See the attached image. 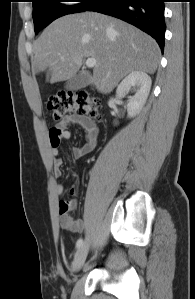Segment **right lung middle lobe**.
I'll return each mask as SVG.
<instances>
[{"label": "right lung middle lobe", "mask_w": 195, "mask_h": 299, "mask_svg": "<svg viewBox=\"0 0 195 299\" xmlns=\"http://www.w3.org/2000/svg\"><path fill=\"white\" fill-rule=\"evenodd\" d=\"M59 1L32 0L35 34L61 16L86 11L93 0H80L75 6L62 5Z\"/></svg>", "instance_id": "obj_1"}]
</instances>
